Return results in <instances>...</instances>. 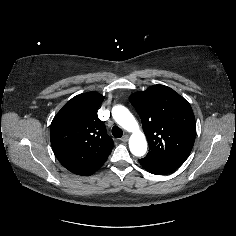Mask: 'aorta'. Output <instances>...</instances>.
<instances>
[{
  "instance_id": "obj_1",
  "label": "aorta",
  "mask_w": 236,
  "mask_h": 236,
  "mask_svg": "<svg viewBox=\"0 0 236 236\" xmlns=\"http://www.w3.org/2000/svg\"><path fill=\"white\" fill-rule=\"evenodd\" d=\"M112 116L123 129L132 133L129 139L131 153L137 157L143 156L147 151V141L144 133L139 129L135 117L122 105L112 108Z\"/></svg>"
}]
</instances>
